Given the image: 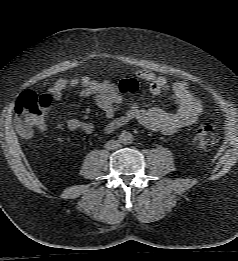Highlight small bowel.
Masks as SVG:
<instances>
[{"label":"small bowel","instance_id":"small-bowel-1","mask_svg":"<svg viewBox=\"0 0 238 261\" xmlns=\"http://www.w3.org/2000/svg\"><path fill=\"white\" fill-rule=\"evenodd\" d=\"M132 76L135 80L146 81L151 93L155 95L164 92L170 93L177 104V109L165 111L159 107L143 108L136 103H130L123 115L116 116V113L125 104L119 89L120 81H100L87 76L60 79L44 94L54 102L62 99L66 90L79 88V96L93 99L109 119L104 129L108 134L132 121H137L148 130L172 135L196 122L201 115V102L188 82L178 81L170 85L164 75L147 69L136 70L132 73ZM45 127L43 121L39 129L43 130ZM66 127L72 131L81 130L88 134L95 130L93 123L77 118L67 120Z\"/></svg>","mask_w":238,"mask_h":261}]
</instances>
